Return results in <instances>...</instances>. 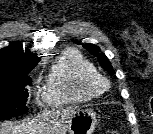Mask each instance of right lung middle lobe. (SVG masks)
I'll return each mask as SVG.
<instances>
[{
	"instance_id": "right-lung-middle-lobe-1",
	"label": "right lung middle lobe",
	"mask_w": 153,
	"mask_h": 134,
	"mask_svg": "<svg viewBox=\"0 0 153 134\" xmlns=\"http://www.w3.org/2000/svg\"><path fill=\"white\" fill-rule=\"evenodd\" d=\"M26 85H31L30 77L27 74L0 75V120L27 112Z\"/></svg>"
}]
</instances>
